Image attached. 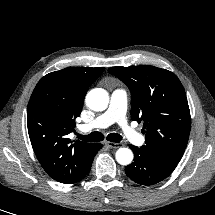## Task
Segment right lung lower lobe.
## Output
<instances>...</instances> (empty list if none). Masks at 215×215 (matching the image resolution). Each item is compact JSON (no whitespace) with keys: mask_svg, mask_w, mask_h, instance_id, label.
<instances>
[{"mask_svg":"<svg viewBox=\"0 0 215 215\" xmlns=\"http://www.w3.org/2000/svg\"><path fill=\"white\" fill-rule=\"evenodd\" d=\"M102 148V144L100 143H97V144H94L93 145V149H92V153H91V157L89 159V161L86 163V166L83 170V172L81 173V176L79 177V180L80 181L82 178H84L88 172L90 171V168H91V165H92V161L94 159V156L96 155V153ZM77 181V182H78Z\"/></svg>","mask_w":215,"mask_h":215,"instance_id":"1","label":"right lung lower lobe"}]
</instances>
